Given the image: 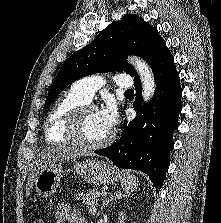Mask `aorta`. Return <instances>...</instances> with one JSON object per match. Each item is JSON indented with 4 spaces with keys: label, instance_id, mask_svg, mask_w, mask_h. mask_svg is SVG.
<instances>
[{
    "label": "aorta",
    "instance_id": "1",
    "mask_svg": "<svg viewBox=\"0 0 221 223\" xmlns=\"http://www.w3.org/2000/svg\"><path fill=\"white\" fill-rule=\"evenodd\" d=\"M130 63L133 64L138 72L142 83V96L145 102H148L155 92V79L150 67L139 57H130Z\"/></svg>",
    "mask_w": 221,
    "mask_h": 223
}]
</instances>
